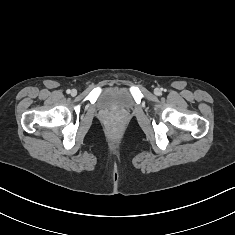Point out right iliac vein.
Here are the masks:
<instances>
[{"label": "right iliac vein", "instance_id": "obj_1", "mask_svg": "<svg viewBox=\"0 0 235 235\" xmlns=\"http://www.w3.org/2000/svg\"><path fill=\"white\" fill-rule=\"evenodd\" d=\"M76 94H77V90L73 89V90L71 91V95H72V96H75Z\"/></svg>", "mask_w": 235, "mask_h": 235}]
</instances>
